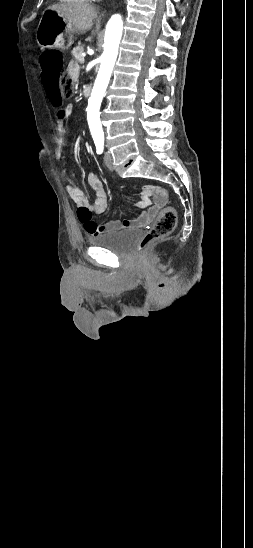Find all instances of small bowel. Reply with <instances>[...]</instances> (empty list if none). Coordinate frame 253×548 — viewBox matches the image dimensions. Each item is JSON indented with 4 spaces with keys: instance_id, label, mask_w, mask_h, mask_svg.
I'll use <instances>...</instances> for the list:
<instances>
[{
    "instance_id": "1",
    "label": "small bowel",
    "mask_w": 253,
    "mask_h": 548,
    "mask_svg": "<svg viewBox=\"0 0 253 548\" xmlns=\"http://www.w3.org/2000/svg\"><path fill=\"white\" fill-rule=\"evenodd\" d=\"M67 74L76 81L79 76V66L75 62H70L67 66ZM52 101V99H51ZM53 103V102H52ZM58 110L57 129H56V157H62V146L64 143V135L66 133V122L70 115V108H62L60 105H54ZM88 183L95 192L94 199L91 201L85 192L72 184L66 186V191L70 198L74 201L77 209V217L84 225L86 231L91 235H100L105 232L129 228L134 226L147 225L155 217L158 209L166 203L167 192L160 186L146 185L141 190V199L136 206L143 209L141 215L135 220L110 221L105 224H97L93 221L92 213L101 215L105 213L109 207V197L106 188L100 178L95 173L88 175Z\"/></svg>"
}]
</instances>
